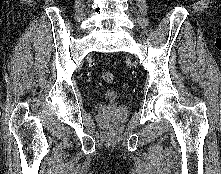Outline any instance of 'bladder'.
<instances>
[{
  "label": "bladder",
  "mask_w": 221,
  "mask_h": 174,
  "mask_svg": "<svg viewBox=\"0 0 221 174\" xmlns=\"http://www.w3.org/2000/svg\"><path fill=\"white\" fill-rule=\"evenodd\" d=\"M108 95H109L110 97L118 96V94L115 93L114 91L109 92Z\"/></svg>",
  "instance_id": "1"
}]
</instances>
